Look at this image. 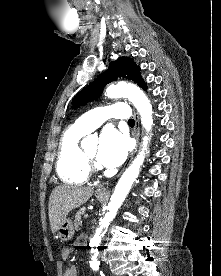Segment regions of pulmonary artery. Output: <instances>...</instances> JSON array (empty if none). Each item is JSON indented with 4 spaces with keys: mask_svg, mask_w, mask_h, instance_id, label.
<instances>
[{
    "mask_svg": "<svg viewBox=\"0 0 221 276\" xmlns=\"http://www.w3.org/2000/svg\"><path fill=\"white\" fill-rule=\"evenodd\" d=\"M130 116L131 111L128 105L116 103L109 106L98 107L85 113L76 120L74 126L84 133H89L99 127L107 119L116 118L129 120Z\"/></svg>",
    "mask_w": 221,
    "mask_h": 276,
    "instance_id": "e3ab8cb5",
    "label": "pulmonary artery"
}]
</instances>
